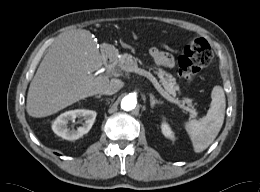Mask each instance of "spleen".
<instances>
[{
  "label": "spleen",
  "instance_id": "spleen-1",
  "mask_svg": "<svg viewBox=\"0 0 260 192\" xmlns=\"http://www.w3.org/2000/svg\"><path fill=\"white\" fill-rule=\"evenodd\" d=\"M211 99L206 116L201 120H190L184 125L196 153L204 151L212 144L224 122L226 99L221 86H214Z\"/></svg>",
  "mask_w": 260,
  "mask_h": 192
}]
</instances>
